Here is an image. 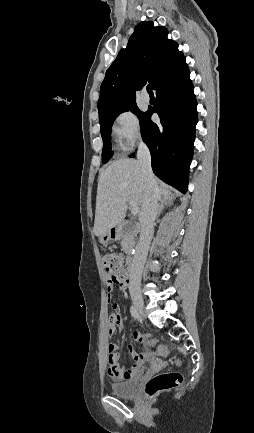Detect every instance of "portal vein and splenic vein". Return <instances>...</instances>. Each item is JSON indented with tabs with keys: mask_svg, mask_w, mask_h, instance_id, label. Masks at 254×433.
<instances>
[{
	"mask_svg": "<svg viewBox=\"0 0 254 433\" xmlns=\"http://www.w3.org/2000/svg\"><path fill=\"white\" fill-rule=\"evenodd\" d=\"M129 205L131 206V213L133 215H137L139 213V207L133 201H129Z\"/></svg>",
	"mask_w": 254,
	"mask_h": 433,
	"instance_id": "18ae733b",
	"label": "portal vein and splenic vein"
}]
</instances>
